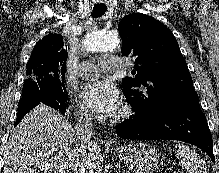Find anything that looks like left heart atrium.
Here are the masks:
<instances>
[{
    "mask_svg": "<svg viewBox=\"0 0 219 173\" xmlns=\"http://www.w3.org/2000/svg\"><path fill=\"white\" fill-rule=\"evenodd\" d=\"M85 105L102 117H112L121 106V95L116 85L110 81H92L81 90Z\"/></svg>",
    "mask_w": 219,
    "mask_h": 173,
    "instance_id": "1",
    "label": "left heart atrium"
}]
</instances>
